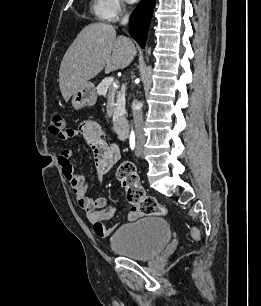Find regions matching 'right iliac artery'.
I'll use <instances>...</instances> for the list:
<instances>
[{"label":"right iliac artery","instance_id":"82829eb1","mask_svg":"<svg viewBox=\"0 0 261 306\" xmlns=\"http://www.w3.org/2000/svg\"><path fill=\"white\" fill-rule=\"evenodd\" d=\"M130 147H131L132 150H134V148H135V135H134V133H132L130 135Z\"/></svg>","mask_w":261,"mask_h":306}]
</instances>
